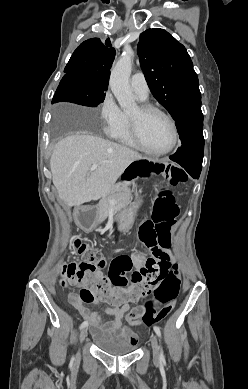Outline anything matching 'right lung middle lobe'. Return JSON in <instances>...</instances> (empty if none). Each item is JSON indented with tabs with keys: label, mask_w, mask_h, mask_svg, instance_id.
I'll return each instance as SVG.
<instances>
[{
	"label": "right lung middle lobe",
	"mask_w": 248,
	"mask_h": 389,
	"mask_svg": "<svg viewBox=\"0 0 248 389\" xmlns=\"http://www.w3.org/2000/svg\"><path fill=\"white\" fill-rule=\"evenodd\" d=\"M107 87L87 80L82 72L66 73L56 90L52 103L66 101L96 107L104 101Z\"/></svg>",
	"instance_id": "obj_1"
}]
</instances>
